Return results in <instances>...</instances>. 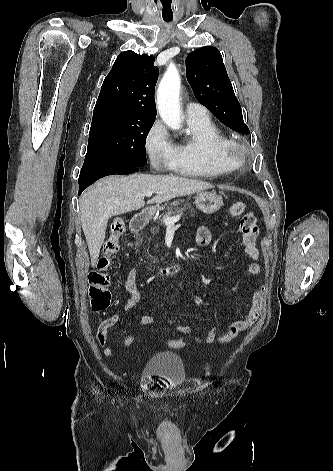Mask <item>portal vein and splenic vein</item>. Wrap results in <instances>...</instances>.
<instances>
[{
	"label": "portal vein and splenic vein",
	"instance_id": "portal-vein-and-splenic-vein-1",
	"mask_svg": "<svg viewBox=\"0 0 333 471\" xmlns=\"http://www.w3.org/2000/svg\"><path fill=\"white\" fill-rule=\"evenodd\" d=\"M153 193H154V192H152V191L147 192L146 196H147V197H151ZM180 218H181L180 215H176V216H173V217H166V218L164 219V223H165L167 226L174 225L177 221L180 220Z\"/></svg>",
	"mask_w": 333,
	"mask_h": 471
}]
</instances>
